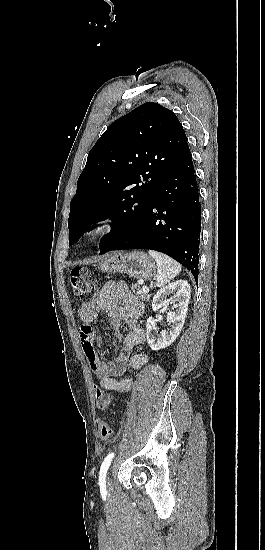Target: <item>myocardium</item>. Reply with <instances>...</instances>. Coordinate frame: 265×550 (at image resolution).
<instances>
[{"label":"myocardium","instance_id":"f54148a6","mask_svg":"<svg viewBox=\"0 0 265 550\" xmlns=\"http://www.w3.org/2000/svg\"><path fill=\"white\" fill-rule=\"evenodd\" d=\"M116 222L111 217H103L92 221L83 232L87 242H96L108 236L115 229Z\"/></svg>","mask_w":265,"mask_h":550}]
</instances>
